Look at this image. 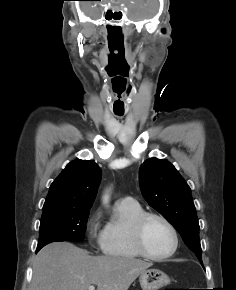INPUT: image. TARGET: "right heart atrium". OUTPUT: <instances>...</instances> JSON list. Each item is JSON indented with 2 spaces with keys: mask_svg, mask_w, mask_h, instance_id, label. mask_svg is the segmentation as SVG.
<instances>
[{
  "mask_svg": "<svg viewBox=\"0 0 236 290\" xmlns=\"http://www.w3.org/2000/svg\"><path fill=\"white\" fill-rule=\"evenodd\" d=\"M99 222H100V213L96 212L91 216L87 225L88 237L92 242L93 241L100 242L101 233H98Z\"/></svg>",
  "mask_w": 236,
  "mask_h": 290,
  "instance_id": "d8ad5b80",
  "label": "right heart atrium"
}]
</instances>
